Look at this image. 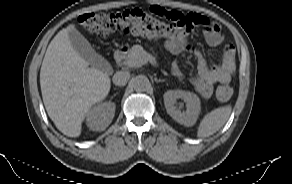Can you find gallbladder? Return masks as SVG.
I'll use <instances>...</instances> for the list:
<instances>
[{"label": "gallbladder", "instance_id": "gallbladder-1", "mask_svg": "<svg viewBox=\"0 0 292 184\" xmlns=\"http://www.w3.org/2000/svg\"><path fill=\"white\" fill-rule=\"evenodd\" d=\"M68 36L74 50L91 66L101 70L107 68V61L92 48L91 44L83 35L76 30H71Z\"/></svg>", "mask_w": 292, "mask_h": 184}]
</instances>
